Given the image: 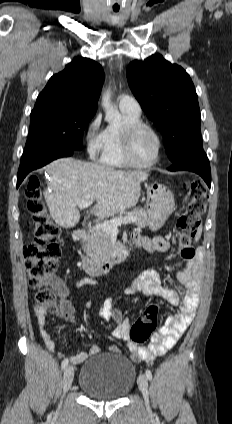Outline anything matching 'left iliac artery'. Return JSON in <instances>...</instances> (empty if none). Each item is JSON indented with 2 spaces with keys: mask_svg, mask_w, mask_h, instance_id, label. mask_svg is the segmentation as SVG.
Instances as JSON below:
<instances>
[{
  "mask_svg": "<svg viewBox=\"0 0 232 424\" xmlns=\"http://www.w3.org/2000/svg\"><path fill=\"white\" fill-rule=\"evenodd\" d=\"M145 374H146V376H147V378L149 379V380H151L152 379V373H151V371L150 370H146V372H145Z\"/></svg>",
  "mask_w": 232,
  "mask_h": 424,
  "instance_id": "obj_1",
  "label": "left iliac artery"
}]
</instances>
